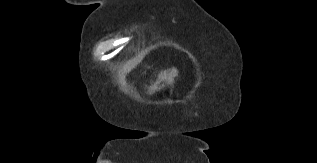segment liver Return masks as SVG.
Masks as SVG:
<instances>
[{
    "instance_id": "1",
    "label": "liver",
    "mask_w": 317,
    "mask_h": 163,
    "mask_svg": "<svg viewBox=\"0 0 317 163\" xmlns=\"http://www.w3.org/2000/svg\"><path fill=\"white\" fill-rule=\"evenodd\" d=\"M177 75H178V71L176 68L161 71L158 74V78H157L156 82L149 87L148 93L152 94L155 91L160 90L161 87H164V84L162 86H160L161 82H165L166 84H173L174 78ZM119 82L121 83L122 86L125 85V78H124L123 74L120 76Z\"/></svg>"
}]
</instances>
